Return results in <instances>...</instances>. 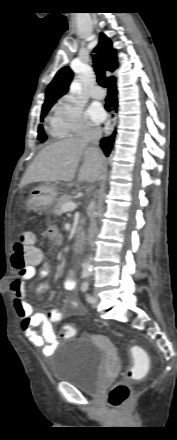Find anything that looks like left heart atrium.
I'll use <instances>...</instances> for the list:
<instances>
[{
	"label": "left heart atrium",
	"mask_w": 177,
	"mask_h": 440,
	"mask_svg": "<svg viewBox=\"0 0 177 440\" xmlns=\"http://www.w3.org/2000/svg\"><path fill=\"white\" fill-rule=\"evenodd\" d=\"M88 117L94 123H100L105 119V111L99 104H92L87 110Z\"/></svg>",
	"instance_id": "obj_1"
}]
</instances>
